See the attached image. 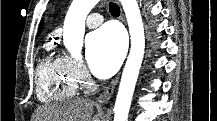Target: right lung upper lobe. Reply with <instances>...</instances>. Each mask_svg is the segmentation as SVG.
<instances>
[{"mask_svg":"<svg viewBox=\"0 0 217 121\" xmlns=\"http://www.w3.org/2000/svg\"><path fill=\"white\" fill-rule=\"evenodd\" d=\"M41 27H42V23H41V25H40V29H41ZM40 31V30H39Z\"/></svg>","mask_w":217,"mask_h":121,"instance_id":"obj_1","label":"right lung upper lobe"}]
</instances>
